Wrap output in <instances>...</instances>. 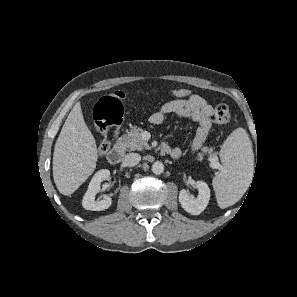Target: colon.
Wrapping results in <instances>:
<instances>
[{"label":"colon","mask_w":297,"mask_h":297,"mask_svg":"<svg viewBox=\"0 0 297 297\" xmlns=\"http://www.w3.org/2000/svg\"><path fill=\"white\" fill-rule=\"evenodd\" d=\"M192 94L190 89L180 88L172 91V96L176 99H185ZM125 98L122 92H114L111 95L102 97L94 108V118L97 129L101 135L98 148L100 155H105L111 147V135L123 120V106L121 100ZM212 121L217 125H225L231 119L229 107L219 104L215 107Z\"/></svg>","instance_id":"colon-1"}]
</instances>
